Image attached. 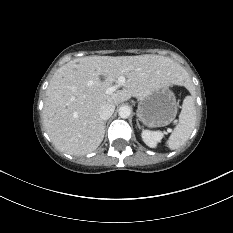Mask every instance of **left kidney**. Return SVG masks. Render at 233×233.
I'll list each match as a JSON object with an SVG mask.
<instances>
[{
  "label": "left kidney",
  "instance_id": "1",
  "mask_svg": "<svg viewBox=\"0 0 233 233\" xmlns=\"http://www.w3.org/2000/svg\"><path fill=\"white\" fill-rule=\"evenodd\" d=\"M141 135L145 144L150 148H155L157 143L160 142L163 137L161 132L149 130H144Z\"/></svg>",
  "mask_w": 233,
  "mask_h": 233
}]
</instances>
